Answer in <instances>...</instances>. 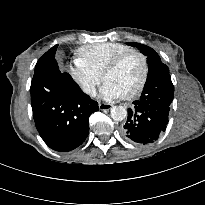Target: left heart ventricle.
Here are the masks:
<instances>
[{
	"label": "left heart ventricle",
	"instance_id": "1",
	"mask_svg": "<svg viewBox=\"0 0 205 205\" xmlns=\"http://www.w3.org/2000/svg\"><path fill=\"white\" fill-rule=\"evenodd\" d=\"M141 73V61L137 56L132 55L126 58L118 68L108 73L105 81L114 85L124 95L136 87Z\"/></svg>",
	"mask_w": 205,
	"mask_h": 205
}]
</instances>
